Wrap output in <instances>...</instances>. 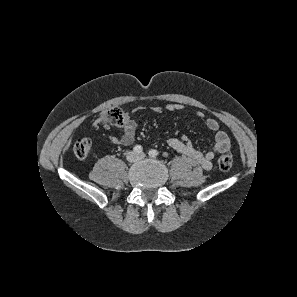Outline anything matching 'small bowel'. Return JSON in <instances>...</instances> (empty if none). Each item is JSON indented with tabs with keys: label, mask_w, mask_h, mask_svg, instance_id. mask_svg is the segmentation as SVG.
Listing matches in <instances>:
<instances>
[{
	"label": "small bowel",
	"mask_w": 297,
	"mask_h": 297,
	"mask_svg": "<svg viewBox=\"0 0 297 297\" xmlns=\"http://www.w3.org/2000/svg\"><path fill=\"white\" fill-rule=\"evenodd\" d=\"M182 108L183 106L180 104H169L167 106V110L171 112L180 111ZM152 110L155 113L162 112V108L159 106L153 107ZM196 116L200 119H205L206 127L216 133L213 147L206 152H201L197 150L191 141L185 136L181 138H170L168 140V145L175 151L193 159L203 169L210 170L212 167V160L214 159L216 153H223L230 149V139L226 132L219 130V123L216 119L212 117L205 118V114L201 111L196 112ZM101 125L107 127V124L102 122L100 119L94 123L95 128H98ZM122 131L123 133L120 137L108 136V140L113 144L124 146L131 145L134 142L137 124L129 115L125 116Z\"/></svg>",
	"instance_id": "obj_1"
}]
</instances>
